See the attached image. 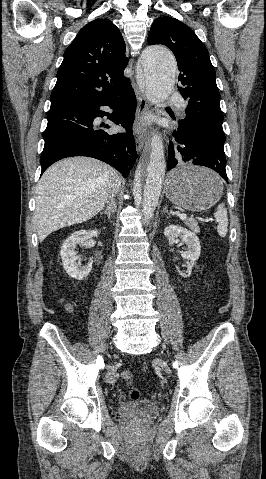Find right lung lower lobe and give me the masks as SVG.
I'll list each match as a JSON object with an SVG mask.
<instances>
[{
    "label": "right lung lower lobe",
    "mask_w": 266,
    "mask_h": 479,
    "mask_svg": "<svg viewBox=\"0 0 266 479\" xmlns=\"http://www.w3.org/2000/svg\"><path fill=\"white\" fill-rule=\"evenodd\" d=\"M101 106L114 110L109 119L126 128L127 133L110 134L98 129L94 119L107 115L100 110ZM135 110L136 97L130 83L111 95L51 105L43 134L45 144L40 157L41 174L60 159L88 156L110 164L127 177L137 157L131 127ZM105 127L109 128L108 125Z\"/></svg>",
    "instance_id": "1"
}]
</instances>
